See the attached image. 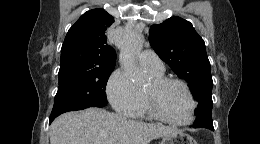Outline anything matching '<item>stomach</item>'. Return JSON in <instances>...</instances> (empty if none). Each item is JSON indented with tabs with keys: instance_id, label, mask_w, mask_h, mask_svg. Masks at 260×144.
<instances>
[{
	"instance_id": "stomach-1",
	"label": "stomach",
	"mask_w": 260,
	"mask_h": 144,
	"mask_svg": "<svg viewBox=\"0 0 260 144\" xmlns=\"http://www.w3.org/2000/svg\"><path fill=\"white\" fill-rule=\"evenodd\" d=\"M161 144H197L196 141L190 135L178 130L176 133H172L163 138Z\"/></svg>"
}]
</instances>
